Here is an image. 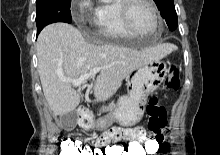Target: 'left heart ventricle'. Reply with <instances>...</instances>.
I'll return each mask as SVG.
<instances>
[{
  "label": "left heart ventricle",
  "mask_w": 220,
  "mask_h": 155,
  "mask_svg": "<svg viewBox=\"0 0 220 155\" xmlns=\"http://www.w3.org/2000/svg\"><path fill=\"white\" fill-rule=\"evenodd\" d=\"M130 17L133 26L140 32L150 33L155 29L154 16L149 7L144 3L133 4Z\"/></svg>",
  "instance_id": "1"
}]
</instances>
